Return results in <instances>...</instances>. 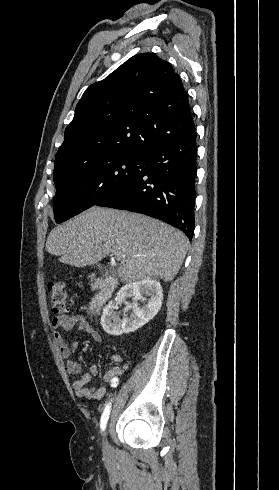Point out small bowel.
Wrapping results in <instances>:
<instances>
[{"instance_id": "obj_1", "label": "small bowel", "mask_w": 279, "mask_h": 490, "mask_svg": "<svg viewBox=\"0 0 279 490\" xmlns=\"http://www.w3.org/2000/svg\"><path fill=\"white\" fill-rule=\"evenodd\" d=\"M52 330V338L57 344L63 358L66 360V368L71 376H78L81 372L80 365L72 359L76 343L69 344L63 336V331H71L77 329L79 332L87 334L92 340L100 342L102 336L100 332L83 316V315H67L59 314L53 317L50 323ZM113 362H120L122 357L120 354L111 355ZM128 368L124 366H112L104 375V382L110 387H116L119 384V379ZM98 375L97 366H91L89 372L82 375L73 382L75 394L86 400H101L106 394V387H97L96 385H88Z\"/></svg>"}]
</instances>
